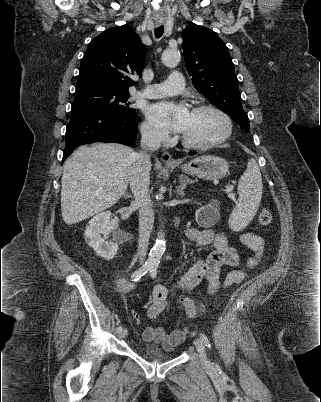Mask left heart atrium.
I'll list each match as a JSON object with an SVG mask.
<instances>
[{
	"label": "left heart atrium",
	"mask_w": 321,
	"mask_h": 402,
	"mask_svg": "<svg viewBox=\"0 0 321 402\" xmlns=\"http://www.w3.org/2000/svg\"><path fill=\"white\" fill-rule=\"evenodd\" d=\"M145 113L149 121L155 126L182 133L191 112L183 104L160 101L147 106Z\"/></svg>",
	"instance_id": "39dd6f15"
}]
</instances>
